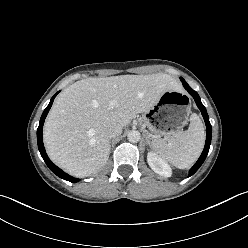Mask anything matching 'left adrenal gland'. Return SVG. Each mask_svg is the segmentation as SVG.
I'll list each match as a JSON object with an SVG mask.
<instances>
[{
  "label": "left adrenal gland",
  "instance_id": "1",
  "mask_svg": "<svg viewBox=\"0 0 248 248\" xmlns=\"http://www.w3.org/2000/svg\"><path fill=\"white\" fill-rule=\"evenodd\" d=\"M146 142H147V144L148 145H150L151 143H150V139H149V137L148 136H146Z\"/></svg>",
  "mask_w": 248,
  "mask_h": 248
}]
</instances>
